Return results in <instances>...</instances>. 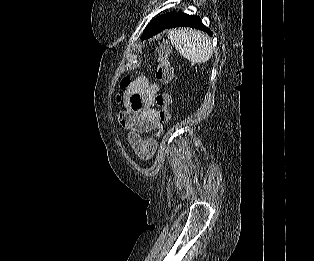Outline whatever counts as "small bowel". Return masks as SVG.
<instances>
[{
	"label": "small bowel",
	"mask_w": 314,
	"mask_h": 261,
	"mask_svg": "<svg viewBox=\"0 0 314 261\" xmlns=\"http://www.w3.org/2000/svg\"><path fill=\"white\" fill-rule=\"evenodd\" d=\"M159 85L150 82L145 75H139L123 94L125 109L119 114L120 125L128 132V142L135 154L148 160L156 148L154 138L142 135L152 130L162 131V124L156 109V96Z\"/></svg>",
	"instance_id": "small-bowel-1"
}]
</instances>
